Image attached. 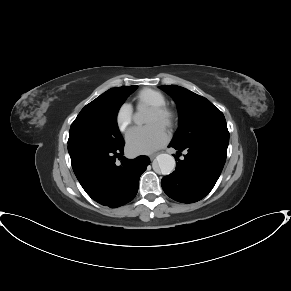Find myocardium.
<instances>
[{
	"instance_id": "myocardium-1",
	"label": "myocardium",
	"mask_w": 291,
	"mask_h": 291,
	"mask_svg": "<svg viewBox=\"0 0 291 291\" xmlns=\"http://www.w3.org/2000/svg\"><path fill=\"white\" fill-rule=\"evenodd\" d=\"M150 109L159 116L163 126L171 128L176 124L177 116L171 108L167 106H152Z\"/></svg>"
}]
</instances>
